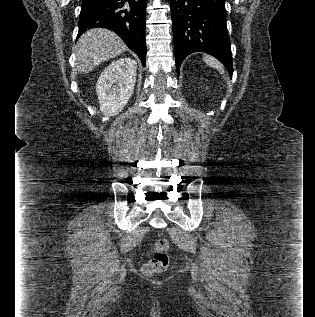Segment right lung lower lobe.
Segmentation results:
<instances>
[{"label": "right lung lower lobe", "instance_id": "right-lung-lower-lobe-1", "mask_svg": "<svg viewBox=\"0 0 315 317\" xmlns=\"http://www.w3.org/2000/svg\"><path fill=\"white\" fill-rule=\"evenodd\" d=\"M147 0H82L78 37L102 27L117 33L145 66Z\"/></svg>", "mask_w": 315, "mask_h": 317}]
</instances>
